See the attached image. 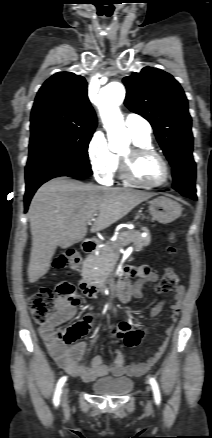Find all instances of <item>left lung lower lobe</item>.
Masks as SVG:
<instances>
[{"instance_id":"left-lung-lower-lobe-1","label":"left lung lower lobe","mask_w":212,"mask_h":438,"mask_svg":"<svg viewBox=\"0 0 212 438\" xmlns=\"http://www.w3.org/2000/svg\"><path fill=\"white\" fill-rule=\"evenodd\" d=\"M173 188L183 196L197 200L196 164L192 153L177 158L172 164Z\"/></svg>"}]
</instances>
